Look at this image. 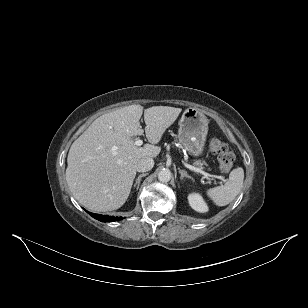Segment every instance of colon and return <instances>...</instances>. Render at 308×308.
Masks as SVG:
<instances>
[{"label":"colon","instance_id":"1","mask_svg":"<svg viewBox=\"0 0 308 308\" xmlns=\"http://www.w3.org/2000/svg\"><path fill=\"white\" fill-rule=\"evenodd\" d=\"M210 152L217 156L221 173H228L234 163V155L227 144L220 138H213L209 143Z\"/></svg>","mask_w":308,"mask_h":308}]
</instances>
